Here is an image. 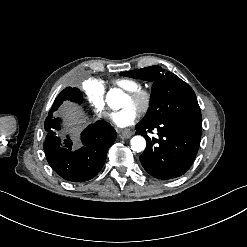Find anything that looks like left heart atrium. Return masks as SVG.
I'll list each match as a JSON object with an SVG mask.
<instances>
[{"label": "left heart atrium", "instance_id": "left-heart-atrium-1", "mask_svg": "<svg viewBox=\"0 0 247 247\" xmlns=\"http://www.w3.org/2000/svg\"><path fill=\"white\" fill-rule=\"evenodd\" d=\"M111 118L118 127L130 126L140 118V109L136 105H130L122 111L112 114Z\"/></svg>", "mask_w": 247, "mask_h": 247}]
</instances>
